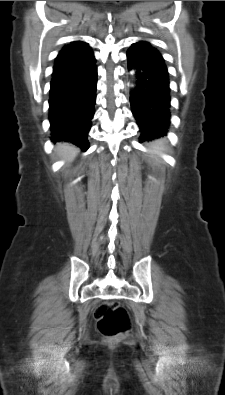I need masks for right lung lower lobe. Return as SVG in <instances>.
<instances>
[{
    "mask_svg": "<svg viewBox=\"0 0 225 395\" xmlns=\"http://www.w3.org/2000/svg\"><path fill=\"white\" fill-rule=\"evenodd\" d=\"M50 84L51 140L72 142L86 151L89 148L87 135L95 112V59L81 68L53 73Z\"/></svg>",
    "mask_w": 225,
    "mask_h": 395,
    "instance_id": "right-lung-lower-lobe-1",
    "label": "right lung lower lobe"
}]
</instances>
